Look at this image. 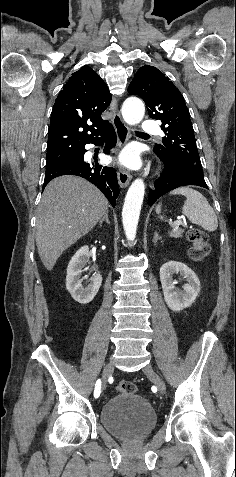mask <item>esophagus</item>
<instances>
[{
  "instance_id": "34e87169",
  "label": "esophagus",
  "mask_w": 236,
  "mask_h": 477,
  "mask_svg": "<svg viewBox=\"0 0 236 477\" xmlns=\"http://www.w3.org/2000/svg\"><path fill=\"white\" fill-rule=\"evenodd\" d=\"M110 111L112 113V123L117 134L119 145L120 147H122L127 143L130 137V130H129V127L124 123V121L121 118L116 99H113L110 105ZM117 177H118L119 185L122 188L127 187L132 178L131 174L122 168L118 170Z\"/></svg>"
}]
</instances>
